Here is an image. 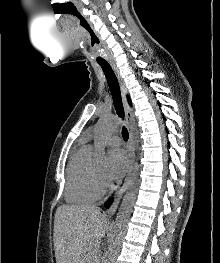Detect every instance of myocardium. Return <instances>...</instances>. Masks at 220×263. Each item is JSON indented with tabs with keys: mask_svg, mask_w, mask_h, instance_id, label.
<instances>
[{
	"mask_svg": "<svg viewBox=\"0 0 220 263\" xmlns=\"http://www.w3.org/2000/svg\"><path fill=\"white\" fill-rule=\"evenodd\" d=\"M93 182L96 191L102 194L106 191L107 184L105 182L104 176L97 173L96 170L93 171Z\"/></svg>",
	"mask_w": 220,
	"mask_h": 263,
	"instance_id": "1",
	"label": "myocardium"
}]
</instances>
